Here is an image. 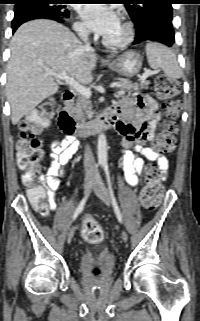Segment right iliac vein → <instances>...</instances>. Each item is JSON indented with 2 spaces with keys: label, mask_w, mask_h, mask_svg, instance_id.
I'll return each instance as SVG.
<instances>
[{
  "label": "right iliac vein",
  "mask_w": 200,
  "mask_h": 321,
  "mask_svg": "<svg viewBox=\"0 0 200 321\" xmlns=\"http://www.w3.org/2000/svg\"><path fill=\"white\" fill-rule=\"evenodd\" d=\"M93 181H94V175L93 174H90V175L86 176L85 183H84V195L85 196L89 194L91 186L93 184ZM74 231H75V228L72 226L68 231V235H67V241L68 242H71V240H72V238L74 236Z\"/></svg>",
  "instance_id": "63e3f726"
}]
</instances>
